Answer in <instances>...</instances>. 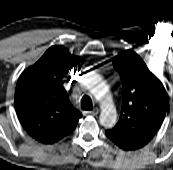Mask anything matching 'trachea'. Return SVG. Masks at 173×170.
<instances>
[{
	"label": "trachea",
	"mask_w": 173,
	"mask_h": 170,
	"mask_svg": "<svg viewBox=\"0 0 173 170\" xmlns=\"http://www.w3.org/2000/svg\"><path fill=\"white\" fill-rule=\"evenodd\" d=\"M81 106L83 110H92V100L89 96L84 95L81 99Z\"/></svg>",
	"instance_id": "1"
}]
</instances>
